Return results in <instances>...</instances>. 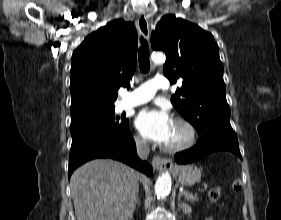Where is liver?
I'll return each mask as SVG.
<instances>
[{
	"label": "liver",
	"instance_id": "6515ba94",
	"mask_svg": "<svg viewBox=\"0 0 281 220\" xmlns=\"http://www.w3.org/2000/svg\"><path fill=\"white\" fill-rule=\"evenodd\" d=\"M77 220H131L139 190V174L111 159H95L70 179Z\"/></svg>",
	"mask_w": 281,
	"mask_h": 220
}]
</instances>
